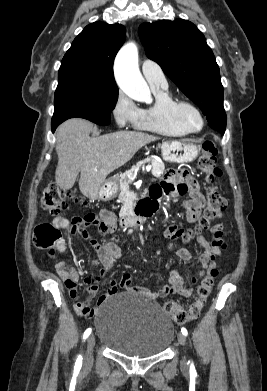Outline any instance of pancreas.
Segmentation results:
<instances>
[{"instance_id": "1", "label": "pancreas", "mask_w": 267, "mask_h": 391, "mask_svg": "<svg viewBox=\"0 0 267 391\" xmlns=\"http://www.w3.org/2000/svg\"><path fill=\"white\" fill-rule=\"evenodd\" d=\"M143 163H150L151 166H152V175L159 178L163 173H164V170H165V165L158 162L157 160H143V161H140L138 162L135 166H132V168L126 172H124L122 175L118 176L117 178H115V180L118 182L119 184V187H120V190L122 193L125 192V189H127L129 187V184L132 183V180H130L128 178V174L131 173V174H134L135 170L141 166V164Z\"/></svg>"}]
</instances>
